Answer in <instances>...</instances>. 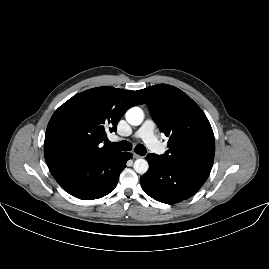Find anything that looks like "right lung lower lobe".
Returning a JSON list of instances; mask_svg holds the SVG:
<instances>
[{
  "label": "right lung lower lobe",
  "instance_id": "98d812e1",
  "mask_svg": "<svg viewBox=\"0 0 269 269\" xmlns=\"http://www.w3.org/2000/svg\"><path fill=\"white\" fill-rule=\"evenodd\" d=\"M131 156L130 153L114 151L90 160L58 162L49 169L68 193L82 200H92L115 189L119 175Z\"/></svg>",
  "mask_w": 269,
  "mask_h": 269
}]
</instances>
